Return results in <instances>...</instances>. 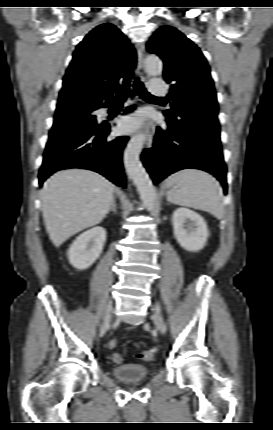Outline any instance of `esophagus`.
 Wrapping results in <instances>:
<instances>
[{
  "mask_svg": "<svg viewBox=\"0 0 273 430\" xmlns=\"http://www.w3.org/2000/svg\"><path fill=\"white\" fill-rule=\"evenodd\" d=\"M136 51L138 55V72L143 81H145L148 78V73L145 68V62H144V46L141 43L136 44ZM155 133V127L153 123H149L147 125V131H146V147L151 148L153 143V136Z\"/></svg>",
  "mask_w": 273,
  "mask_h": 430,
  "instance_id": "esophagus-1",
  "label": "esophagus"
}]
</instances>
